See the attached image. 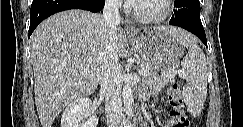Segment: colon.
<instances>
[{
    "instance_id": "obj_1",
    "label": "colon",
    "mask_w": 243,
    "mask_h": 127,
    "mask_svg": "<svg viewBox=\"0 0 243 127\" xmlns=\"http://www.w3.org/2000/svg\"><path fill=\"white\" fill-rule=\"evenodd\" d=\"M168 100L171 107L168 116V126L187 127L190 125L187 113L184 108L180 87L177 83L171 84L168 89Z\"/></svg>"
}]
</instances>
